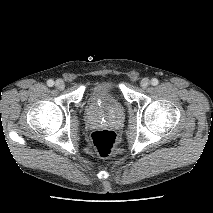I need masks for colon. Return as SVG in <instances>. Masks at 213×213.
I'll use <instances>...</instances> for the list:
<instances>
[{"label":"colon","mask_w":213,"mask_h":213,"mask_svg":"<svg viewBox=\"0 0 213 213\" xmlns=\"http://www.w3.org/2000/svg\"><path fill=\"white\" fill-rule=\"evenodd\" d=\"M93 148L101 157H109L116 150L118 137L110 129L95 130L90 135Z\"/></svg>","instance_id":"obj_1"}]
</instances>
